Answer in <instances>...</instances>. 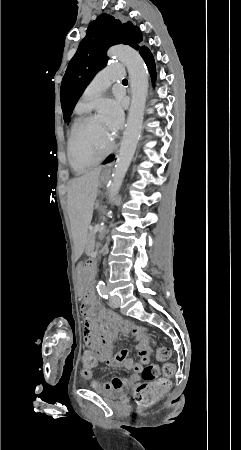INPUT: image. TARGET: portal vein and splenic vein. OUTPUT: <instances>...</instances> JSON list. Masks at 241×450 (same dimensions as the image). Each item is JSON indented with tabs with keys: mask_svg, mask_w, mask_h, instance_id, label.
<instances>
[{
	"mask_svg": "<svg viewBox=\"0 0 241 450\" xmlns=\"http://www.w3.org/2000/svg\"><path fill=\"white\" fill-rule=\"evenodd\" d=\"M99 224H100V223H99ZM98 229H99V228H98V225H95V226L92 227V230H93V231H98Z\"/></svg>",
	"mask_w": 241,
	"mask_h": 450,
	"instance_id": "18ae733b",
	"label": "portal vein and splenic vein"
}]
</instances>
